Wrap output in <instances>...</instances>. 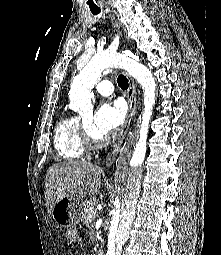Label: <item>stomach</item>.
<instances>
[{"instance_id":"1","label":"stomach","mask_w":221,"mask_h":255,"mask_svg":"<svg viewBox=\"0 0 221 255\" xmlns=\"http://www.w3.org/2000/svg\"><path fill=\"white\" fill-rule=\"evenodd\" d=\"M85 203L86 201L81 195L65 196L54 205L52 217L61 227H73L80 221Z\"/></svg>"}]
</instances>
